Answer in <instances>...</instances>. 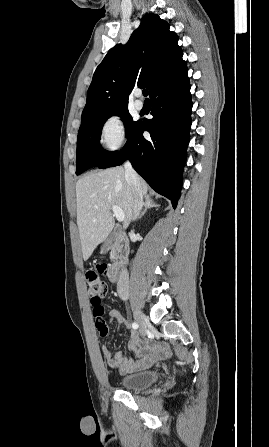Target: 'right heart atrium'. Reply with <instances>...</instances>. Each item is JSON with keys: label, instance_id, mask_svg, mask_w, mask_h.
Returning a JSON list of instances; mask_svg holds the SVG:
<instances>
[{"label": "right heart atrium", "instance_id": "right-heart-atrium-1", "mask_svg": "<svg viewBox=\"0 0 269 447\" xmlns=\"http://www.w3.org/2000/svg\"><path fill=\"white\" fill-rule=\"evenodd\" d=\"M98 141L110 151L119 149L126 141V125L122 116L113 114L102 123Z\"/></svg>", "mask_w": 269, "mask_h": 447}]
</instances>
